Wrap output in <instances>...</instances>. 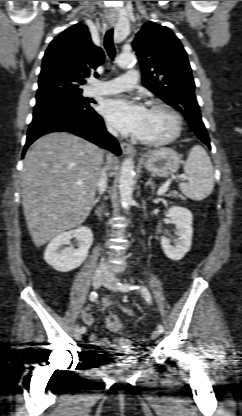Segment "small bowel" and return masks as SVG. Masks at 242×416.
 <instances>
[{
	"mask_svg": "<svg viewBox=\"0 0 242 416\" xmlns=\"http://www.w3.org/2000/svg\"><path fill=\"white\" fill-rule=\"evenodd\" d=\"M109 305H110V301L105 299L103 301V306L108 307ZM126 312L130 313V311L128 309H126ZM82 320L85 324L92 325L95 321V318H94V315L92 313L85 310V311L82 312ZM89 341L94 347H98V348L107 347L110 343L108 338L100 337L98 334H96L94 332L91 333V335L89 337Z\"/></svg>",
	"mask_w": 242,
	"mask_h": 416,
	"instance_id": "obj_1",
	"label": "small bowel"
}]
</instances>
